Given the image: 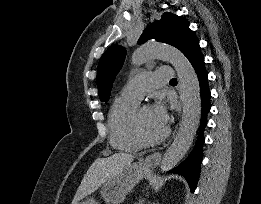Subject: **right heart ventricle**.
<instances>
[{
	"label": "right heart ventricle",
	"instance_id": "1",
	"mask_svg": "<svg viewBox=\"0 0 261 204\" xmlns=\"http://www.w3.org/2000/svg\"><path fill=\"white\" fill-rule=\"evenodd\" d=\"M139 102L118 97L108 114L109 140L111 145L124 152H137L142 144L133 130V116Z\"/></svg>",
	"mask_w": 261,
	"mask_h": 204
}]
</instances>
